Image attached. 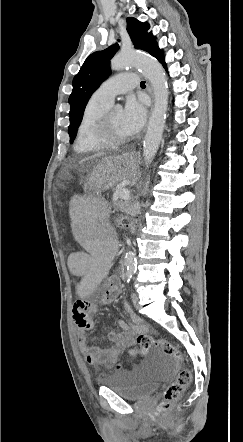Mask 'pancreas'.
<instances>
[{"instance_id":"1","label":"pancreas","mask_w":243,"mask_h":442,"mask_svg":"<svg viewBox=\"0 0 243 442\" xmlns=\"http://www.w3.org/2000/svg\"><path fill=\"white\" fill-rule=\"evenodd\" d=\"M114 205L117 206L120 209H123L124 202L123 201H118L117 203H114Z\"/></svg>"}]
</instances>
